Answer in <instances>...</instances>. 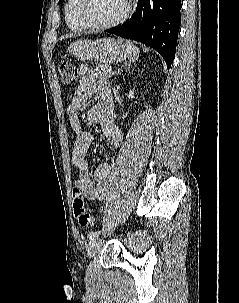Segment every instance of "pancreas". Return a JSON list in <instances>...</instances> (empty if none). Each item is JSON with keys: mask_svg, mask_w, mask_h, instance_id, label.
Instances as JSON below:
<instances>
[{"mask_svg": "<svg viewBox=\"0 0 239 303\" xmlns=\"http://www.w3.org/2000/svg\"><path fill=\"white\" fill-rule=\"evenodd\" d=\"M97 68L101 71L102 77L106 79L110 78L113 75L112 72H109V68L111 67L108 64H98Z\"/></svg>", "mask_w": 239, "mask_h": 303, "instance_id": "pancreas-1", "label": "pancreas"}]
</instances>
